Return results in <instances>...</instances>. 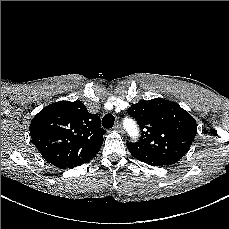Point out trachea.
I'll use <instances>...</instances> for the list:
<instances>
[{
	"instance_id": "1",
	"label": "trachea",
	"mask_w": 229,
	"mask_h": 229,
	"mask_svg": "<svg viewBox=\"0 0 229 229\" xmlns=\"http://www.w3.org/2000/svg\"><path fill=\"white\" fill-rule=\"evenodd\" d=\"M115 118L112 114L108 113L104 115L102 119V126L106 129L112 128L114 125Z\"/></svg>"
}]
</instances>
